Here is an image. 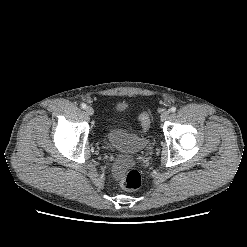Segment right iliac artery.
<instances>
[{
	"label": "right iliac artery",
	"mask_w": 247,
	"mask_h": 247,
	"mask_svg": "<svg viewBox=\"0 0 247 247\" xmlns=\"http://www.w3.org/2000/svg\"><path fill=\"white\" fill-rule=\"evenodd\" d=\"M86 107H87V106H86L85 103H82V104H81V108L86 109Z\"/></svg>",
	"instance_id": "right-iliac-artery-1"
}]
</instances>
